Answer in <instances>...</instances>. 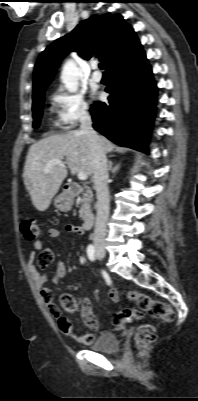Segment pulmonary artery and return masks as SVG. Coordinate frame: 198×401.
<instances>
[{"label":"pulmonary artery","instance_id":"pulmonary-artery-1","mask_svg":"<svg viewBox=\"0 0 198 401\" xmlns=\"http://www.w3.org/2000/svg\"><path fill=\"white\" fill-rule=\"evenodd\" d=\"M91 68L93 69L92 80L97 83L101 82L103 77H102V73L98 69V64L92 63Z\"/></svg>","mask_w":198,"mask_h":401}]
</instances>
